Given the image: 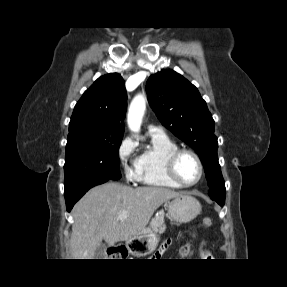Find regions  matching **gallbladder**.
<instances>
[{
	"label": "gallbladder",
	"mask_w": 287,
	"mask_h": 287,
	"mask_svg": "<svg viewBox=\"0 0 287 287\" xmlns=\"http://www.w3.org/2000/svg\"><path fill=\"white\" fill-rule=\"evenodd\" d=\"M106 246L104 243H100L95 251V259H104L106 257Z\"/></svg>",
	"instance_id": "obj_1"
}]
</instances>
